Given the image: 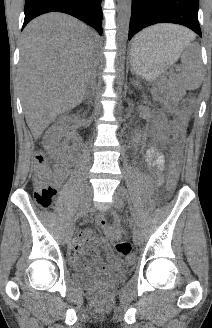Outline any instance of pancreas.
Listing matches in <instances>:
<instances>
[{"label": "pancreas", "mask_w": 212, "mask_h": 328, "mask_svg": "<svg viewBox=\"0 0 212 328\" xmlns=\"http://www.w3.org/2000/svg\"><path fill=\"white\" fill-rule=\"evenodd\" d=\"M167 88L170 89V90H173L174 89V81L173 80H170L168 82Z\"/></svg>", "instance_id": "pancreas-1"}]
</instances>
